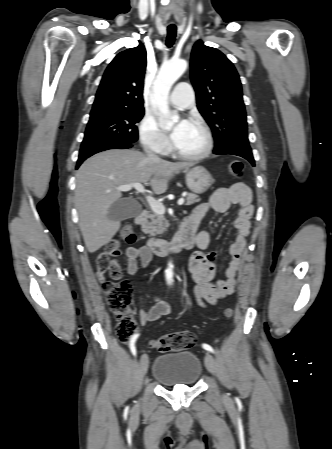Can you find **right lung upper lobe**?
Returning a JSON list of instances; mask_svg holds the SVG:
<instances>
[{
  "label": "right lung upper lobe",
  "mask_w": 332,
  "mask_h": 449,
  "mask_svg": "<svg viewBox=\"0 0 332 449\" xmlns=\"http://www.w3.org/2000/svg\"><path fill=\"white\" fill-rule=\"evenodd\" d=\"M147 64L143 44L119 53L108 65L91 113L143 108V84Z\"/></svg>",
  "instance_id": "cb5924a9"
}]
</instances>
